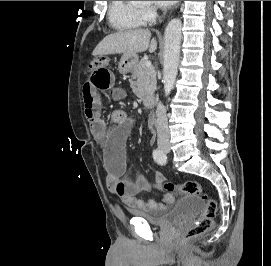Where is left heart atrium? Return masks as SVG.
<instances>
[{
	"label": "left heart atrium",
	"mask_w": 271,
	"mask_h": 266,
	"mask_svg": "<svg viewBox=\"0 0 271 266\" xmlns=\"http://www.w3.org/2000/svg\"><path fill=\"white\" fill-rule=\"evenodd\" d=\"M176 1H155V3L161 7H168L174 4Z\"/></svg>",
	"instance_id": "39dd6f15"
}]
</instances>
